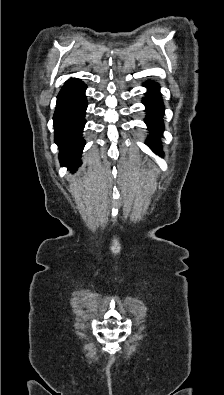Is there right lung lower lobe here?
<instances>
[{"mask_svg":"<svg viewBox=\"0 0 224 395\" xmlns=\"http://www.w3.org/2000/svg\"><path fill=\"white\" fill-rule=\"evenodd\" d=\"M86 85L78 79H69L57 96V105L53 117L55 142L60 153L61 165L76 169L85 141L82 130L85 125L87 101Z\"/></svg>","mask_w":224,"mask_h":395,"instance_id":"1","label":"right lung lower lobe"}]
</instances>
